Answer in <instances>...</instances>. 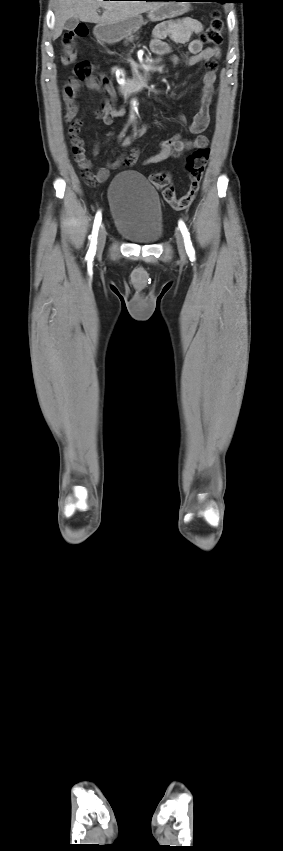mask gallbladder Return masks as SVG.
<instances>
[{
	"instance_id": "gallbladder-1",
	"label": "gallbladder",
	"mask_w": 283,
	"mask_h": 851,
	"mask_svg": "<svg viewBox=\"0 0 283 851\" xmlns=\"http://www.w3.org/2000/svg\"><path fill=\"white\" fill-rule=\"evenodd\" d=\"M78 24H79V19H77V18H70V19H68V20L65 22L64 27H63V28H64L65 30L72 31V30H74V29L77 27V25H78Z\"/></svg>"
}]
</instances>
